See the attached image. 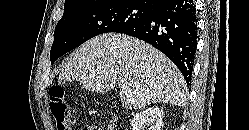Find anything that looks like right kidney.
I'll list each match as a JSON object with an SVG mask.
<instances>
[{"label": "right kidney", "mask_w": 249, "mask_h": 130, "mask_svg": "<svg viewBox=\"0 0 249 130\" xmlns=\"http://www.w3.org/2000/svg\"><path fill=\"white\" fill-rule=\"evenodd\" d=\"M163 121V110L157 106L146 108L136 113L130 121L131 130H143L148 125V130H160Z\"/></svg>", "instance_id": "1"}]
</instances>
